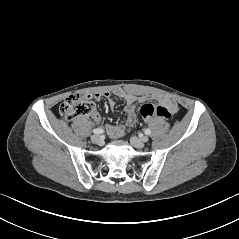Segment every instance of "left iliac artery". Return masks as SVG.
<instances>
[{
    "instance_id": "left-iliac-artery-1",
    "label": "left iliac artery",
    "mask_w": 239,
    "mask_h": 239,
    "mask_svg": "<svg viewBox=\"0 0 239 239\" xmlns=\"http://www.w3.org/2000/svg\"><path fill=\"white\" fill-rule=\"evenodd\" d=\"M145 134H146V135H150V134H151V130H150V129H146V130H145Z\"/></svg>"
}]
</instances>
